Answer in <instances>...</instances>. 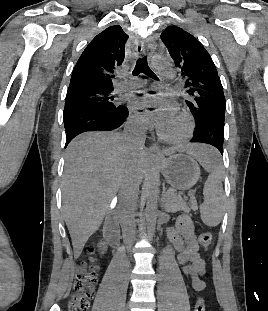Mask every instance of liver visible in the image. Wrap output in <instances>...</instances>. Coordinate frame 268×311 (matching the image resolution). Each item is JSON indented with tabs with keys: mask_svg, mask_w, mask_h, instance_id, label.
<instances>
[{
	"mask_svg": "<svg viewBox=\"0 0 268 311\" xmlns=\"http://www.w3.org/2000/svg\"><path fill=\"white\" fill-rule=\"evenodd\" d=\"M200 146H191L195 154ZM174 149H167L170 156ZM148 166L146 153L115 132L84 133L66 150L62 183V211L77 259L99 228L118 191L139 186Z\"/></svg>",
	"mask_w": 268,
	"mask_h": 311,
	"instance_id": "liver-1",
	"label": "liver"
}]
</instances>
